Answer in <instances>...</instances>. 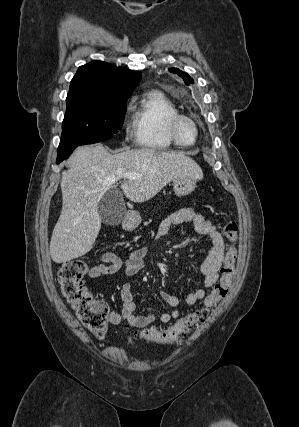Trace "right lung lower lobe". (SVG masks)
I'll list each match as a JSON object with an SVG mask.
<instances>
[{"instance_id": "obj_1", "label": "right lung lower lobe", "mask_w": 299, "mask_h": 427, "mask_svg": "<svg viewBox=\"0 0 299 427\" xmlns=\"http://www.w3.org/2000/svg\"><path fill=\"white\" fill-rule=\"evenodd\" d=\"M78 146H80V145H78ZM78 146H74V147H71V148H69V149H67V150H64V151H60V152H58V156H57L56 163H57V164H59V163H61L63 160L67 159V158L69 157V155L72 153V151H73L76 147H78Z\"/></svg>"}]
</instances>
